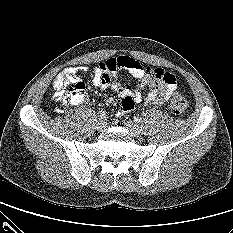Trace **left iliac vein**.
Returning a JSON list of instances; mask_svg holds the SVG:
<instances>
[{
    "label": "left iliac vein",
    "instance_id": "left-iliac-vein-1",
    "mask_svg": "<svg viewBox=\"0 0 233 233\" xmlns=\"http://www.w3.org/2000/svg\"><path fill=\"white\" fill-rule=\"evenodd\" d=\"M126 127L128 128V130L135 136L138 137L141 134V129L140 126L133 122V121H127L126 122Z\"/></svg>",
    "mask_w": 233,
    "mask_h": 233
}]
</instances>
